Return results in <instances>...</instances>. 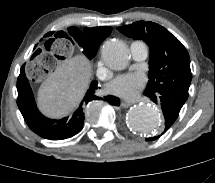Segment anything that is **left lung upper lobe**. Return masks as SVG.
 <instances>
[{"instance_id": "5c2ea615", "label": "left lung upper lobe", "mask_w": 215, "mask_h": 183, "mask_svg": "<svg viewBox=\"0 0 215 183\" xmlns=\"http://www.w3.org/2000/svg\"><path fill=\"white\" fill-rule=\"evenodd\" d=\"M118 30L133 39H142L150 48L149 81L144 93L167 90L187 100L192 74L189 54L182 43L164 27L150 21H138Z\"/></svg>"}]
</instances>
